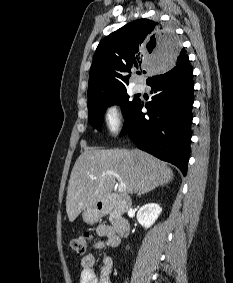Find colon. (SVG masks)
<instances>
[{
    "label": "colon",
    "mask_w": 233,
    "mask_h": 283,
    "mask_svg": "<svg viewBox=\"0 0 233 283\" xmlns=\"http://www.w3.org/2000/svg\"><path fill=\"white\" fill-rule=\"evenodd\" d=\"M91 241V235L89 232H85L80 236H77L69 241V248L75 253L81 255L84 254Z\"/></svg>",
    "instance_id": "5ec220e1"
}]
</instances>
